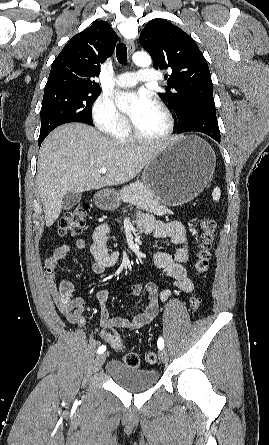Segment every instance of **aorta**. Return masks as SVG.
I'll list each match as a JSON object with an SVG mask.
<instances>
[{"label": "aorta", "mask_w": 269, "mask_h": 445, "mask_svg": "<svg viewBox=\"0 0 269 445\" xmlns=\"http://www.w3.org/2000/svg\"><path fill=\"white\" fill-rule=\"evenodd\" d=\"M133 62L140 67H149L152 63V59L149 54L144 52H137L132 56ZM136 101L133 95H121L116 98L117 107L121 111L130 110L133 103Z\"/></svg>", "instance_id": "obj_1"}]
</instances>
